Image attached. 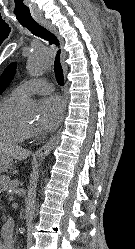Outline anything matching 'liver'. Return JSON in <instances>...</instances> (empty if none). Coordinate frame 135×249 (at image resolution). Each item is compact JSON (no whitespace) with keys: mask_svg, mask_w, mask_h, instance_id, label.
<instances>
[{"mask_svg":"<svg viewBox=\"0 0 135 249\" xmlns=\"http://www.w3.org/2000/svg\"><path fill=\"white\" fill-rule=\"evenodd\" d=\"M0 154H4L17 160H24L30 156L31 152L19 146L0 143Z\"/></svg>","mask_w":135,"mask_h":249,"instance_id":"obj_1","label":"liver"}]
</instances>
